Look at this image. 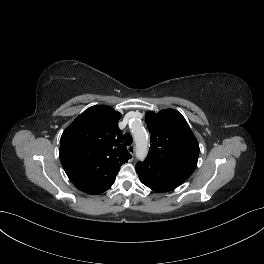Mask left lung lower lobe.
I'll use <instances>...</instances> for the list:
<instances>
[{
    "label": "left lung lower lobe",
    "mask_w": 264,
    "mask_h": 264,
    "mask_svg": "<svg viewBox=\"0 0 264 264\" xmlns=\"http://www.w3.org/2000/svg\"><path fill=\"white\" fill-rule=\"evenodd\" d=\"M151 163H138L137 173L141 182L156 192L170 191L184 181L166 174L161 167Z\"/></svg>",
    "instance_id": "left-lung-lower-lobe-1"
}]
</instances>
